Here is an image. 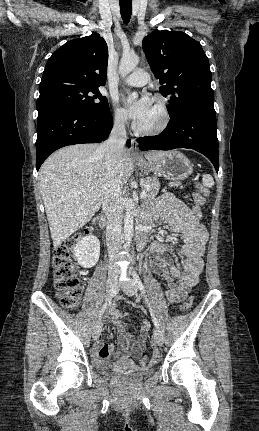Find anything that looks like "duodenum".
Returning <instances> with one entry per match:
<instances>
[{"instance_id": "410a0bca", "label": "duodenum", "mask_w": 259, "mask_h": 431, "mask_svg": "<svg viewBox=\"0 0 259 431\" xmlns=\"http://www.w3.org/2000/svg\"><path fill=\"white\" fill-rule=\"evenodd\" d=\"M107 224L106 216H103L100 221V226L105 228ZM148 228L143 222L139 223L137 226V248L142 249L146 243Z\"/></svg>"}]
</instances>
